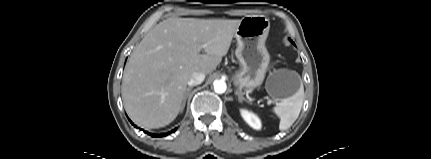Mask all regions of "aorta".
<instances>
[{"instance_id":"1","label":"aorta","mask_w":431,"mask_h":159,"mask_svg":"<svg viewBox=\"0 0 431 159\" xmlns=\"http://www.w3.org/2000/svg\"><path fill=\"white\" fill-rule=\"evenodd\" d=\"M214 91L218 94H222L226 91L227 85L223 80H215L213 83Z\"/></svg>"}]
</instances>
